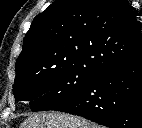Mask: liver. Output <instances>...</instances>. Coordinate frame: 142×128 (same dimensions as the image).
I'll use <instances>...</instances> for the list:
<instances>
[{
	"label": "liver",
	"mask_w": 142,
	"mask_h": 128,
	"mask_svg": "<svg viewBox=\"0 0 142 128\" xmlns=\"http://www.w3.org/2000/svg\"><path fill=\"white\" fill-rule=\"evenodd\" d=\"M20 128H100L87 119L66 113H35L25 119Z\"/></svg>",
	"instance_id": "obj_1"
}]
</instances>
